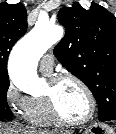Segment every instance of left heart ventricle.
Listing matches in <instances>:
<instances>
[{
    "label": "left heart ventricle",
    "instance_id": "obj_1",
    "mask_svg": "<svg viewBox=\"0 0 116 134\" xmlns=\"http://www.w3.org/2000/svg\"><path fill=\"white\" fill-rule=\"evenodd\" d=\"M45 95H52L60 113L70 120H80L89 111L86 93L72 81L62 82L56 88L49 84Z\"/></svg>",
    "mask_w": 116,
    "mask_h": 134
}]
</instances>
